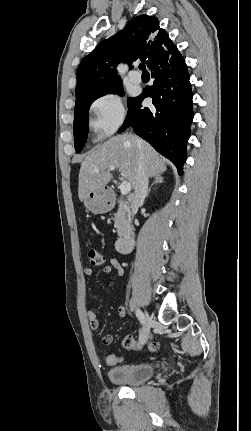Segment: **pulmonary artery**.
Returning <instances> with one entry per match:
<instances>
[{"mask_svg":"<svg viewBox=\"0 0 251 431\" xmlns=\"http://www.w3.org/2000/svg\"><path fill=\"white\" fill-rule=\"evenodd\" d=\"M129 79L133 83H140L141 82V75L137 71H133L130 73Z\"/></svg>","mask_w":251,"mask_h":431,"instance_id":"e3ab8cb5","label":"pulmonary artery"}]
</instances>
